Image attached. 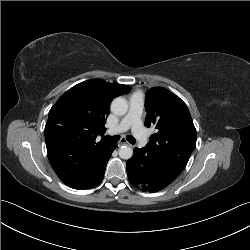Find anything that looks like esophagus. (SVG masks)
Returning <instances> with one entry per match:
<instances>
[{"label": "esophagus", "instance_id": "1", "mask_svg": "<svg viewBox=\"0 0 250 250\" xmlns=\"http://www.w3.org/2000/svg\"><path fill=\"white\" fill-rule=\"evenodd\" d=\"M123 145H130L127 140L125 138H122L119 142H118V146H123Z\"/></svg>", "mask_w": 250, "mask_h": 250}]
</instances>
